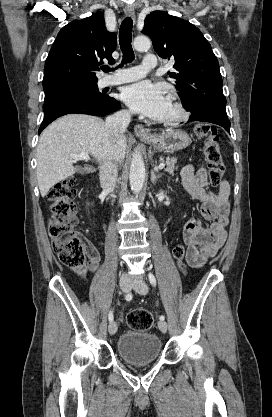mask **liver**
<instances>
[{
    "instance_id": "6515ba94",
    "label": "liver",
    "mask_w": 272,
    "mask_h": 417,
    "mask_svg": "<svg viewBox=\"0 0 272 417\" xmlns=\"http://www.w3.org/2000/svg\"><path fill=\"white\" fill-rule=\"evenodd\" d=\"M126 148L123 133L112 136L101 118L81 114L59 118L42 132L37 146L36 174L41 196L76 172L71 154L87 152L98 163L108 159L122 163Z\"/></svg>"
}]
</instances>
